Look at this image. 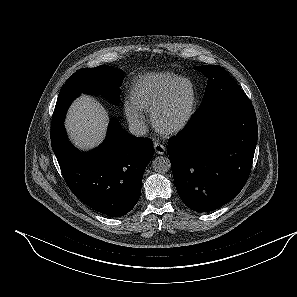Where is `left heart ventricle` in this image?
<instances>
[{"label":"left heart ventricle","mask_w":297,"mask_h":297,"mask_svg":"<svg viewBox=\"0 0 297 297\" xmlns=\"http://www.w3.org/2000/svg\"><path fill=\"white\" fill-rule=\"evenodd\" d=\"M188 101L189 88L187 84L182 83L178 87L171 103L160 115L159 123L163 126H169L175 123L185 112Z\"/></svg>","instance_id":"1"}]
</instances>
